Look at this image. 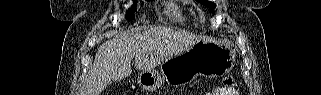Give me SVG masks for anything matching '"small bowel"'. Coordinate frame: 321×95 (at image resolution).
Here are the masks:
<instances>
[{
    "label": "small bowel",
    "instance_id": "small-bowel-1",
    "mask_svg": "<svg viewBox=\"0 0 321 95\" xmlns=\"http://www.w3.org/2000/svg\"><path fill=\"white\" fill-rule=\"evenodd\" d=\"M207 95H236L235 91L233 89H217L214 92H207Z\"/></svg>",
    "mask_w": 321,
    "mask_h": 95
}]
</instances>
